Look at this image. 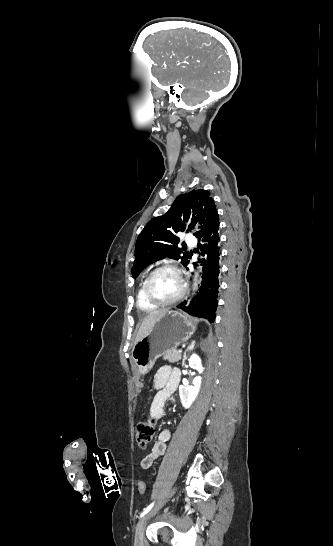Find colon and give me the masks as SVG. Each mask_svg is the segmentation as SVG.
Here are the masks:
<instances>
[{
  "label": "colon",
  "instance_id": "obj_1",
  "mask_svg": "<svg viewBox=\"0 0 333 546\" xmlns=\"http://www.w3.org/2000/svg\"><path fill=\"white\" fill-rule=\"evenodd\" d=\"M155 434V421L148 419L140 422L136 427V440L140 449L144 450L149 447ZM140 494L145 493L146 484L141 481L137 485Z\"/></svg>",
  "mask_w": 333,
  "mask_h": 546
}]
</instances>
